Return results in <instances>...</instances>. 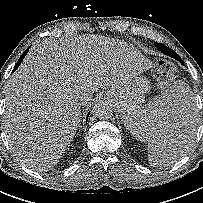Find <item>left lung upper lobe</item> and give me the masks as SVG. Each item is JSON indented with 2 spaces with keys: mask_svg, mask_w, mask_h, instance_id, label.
<instances>
[{
  "mask_svg": "<svg viewBox=\"0 0 203 203\" xmlns=\"http://www.w3.org/2000/svg\"><path fill=\"white\" fill-rule=\"evenodd\" d=\"M156 46L158 47V49H159V47H163V48H166V49H168V50H171V49H169L168 47H166V46H163V44H161V43H158V44H156ZM172 51V50H171ZM173 52V51H172ZM177 59V58H176Z\"/></svg>",
  "mask_w": 203,
  "mask_h": 203,
  "instance_id": "obj_1",
  "label": "left lung upper lobe"
}]
</instances>
